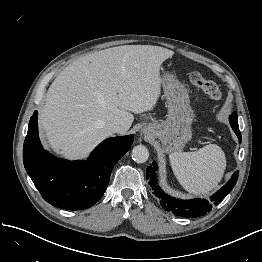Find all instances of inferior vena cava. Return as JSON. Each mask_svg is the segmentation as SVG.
<instances>
[{
  "instance_id": "obj_1",
  "label": "inferior vena cava",
  "mask_w": 262,
  "mask_h": 262,
  "mask_svg": "<svg viewBox=\"0 0 262 262\" xmlns=\"http://www.w3.org/2000/svg\"><path fill=\"white\" fill-rule=\"evenodd\" d=\"M105 129L108 133H124L126 131V128L123 124L117 121H111L105 125Z\"/></svg>"
}]
</instances>
